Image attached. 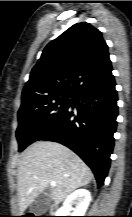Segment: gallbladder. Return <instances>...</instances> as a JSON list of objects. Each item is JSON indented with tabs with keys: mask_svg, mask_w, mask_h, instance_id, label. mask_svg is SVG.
I'll return each instance as SVG.
<instances>
[{
	"mask_svg": "<svg viewBox=\"0 0 132 217\" xmlns=\"http://www.w3.org/2000/svg\"><path fill=\"white\" fill-rule=\"evenodd\" d=\"M51 204V192L50 190H45L40 193L34 201L30 204L29 210L36 216H41L44 214Z\"/></svg>",
	"mask_w": 132,
	"mask_h": 217,
	"instance_id": "1",
	"label": "gallbladder"
}]
</instances>
